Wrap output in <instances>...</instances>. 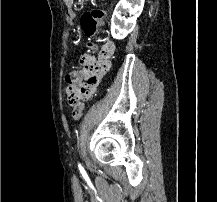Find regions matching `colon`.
Here are the masks:
<instances>
[{"instance_id":"colon-1","label":"colon","mask_w":217,"mask_h":202,"mask_svg":"<svg viewBox=\"0 0 217 202\" xmlns=\"http://www.w3.org/2000/svg\"><path fill=\"white\" fill-rule=\"evenodd\" d=\"M107 11L102 8H93L85 11L80 18V29L86 38V46H93L92 38L98 32L99 26L104 22ZM84 74H90L86 69L71 71L67 76V87L65 93L68 96L69 104L73 99H85L87 96H80L78 88L81 87V82H84ZM84 89V87H82ZM83 107H76L72 110V118L79 119L82 115Z\"/></svg>"}]
</instances>
